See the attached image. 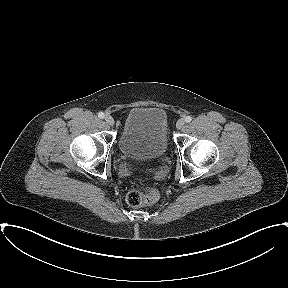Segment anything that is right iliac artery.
Returning <instances> with one entry per match:
<instances>
[{
	"instance_id": "82829eb1",
	"label": "right iliac artery",
	"mask_w": 288,
	"mask_h": 288,
	"mask_svg": "<svg viewBox=\"0 0 288 288\" xmlns=\"http://www.w3.org/2000/svg\"><path fill=\"white\" fill-rule=\"evenodd\" d=\"M104 116H105V115H104V113H103V112H99V113H98V117H99L100 119H103V118H104Z\"/></svg>"
}]
</instances>
